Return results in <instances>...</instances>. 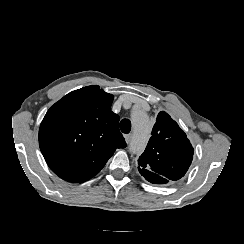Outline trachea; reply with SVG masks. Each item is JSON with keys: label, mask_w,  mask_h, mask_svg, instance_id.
Segmentation results:
<instances>
[{"label": "trachea", "mask_w": 244, "mask_h": 244, "mask_svg": "<svg viewBox=\"0 0 244 244\" xmlns=\"http://www.w3.org/2000/svg\"><path fill=\"white\" fill-rule=\"evenodd\" d=\"M120 130L122 133L128 134L131 131V122L128 119H123L120 122Z\"/></svg>", "instance_id": "obj_1"}]
</instances>
